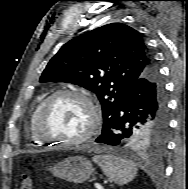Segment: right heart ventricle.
Masks as SVG:
<instances>
[{"instance_id": "1", "label": "right heart ventricle", "mask_w": 188, "mask_h": 189, "mask_svg": "<svg viewBox=\"0 0 188 189\" xmlns=\"http://www.w3.org/2000/svg\"><path fill=\"white\" fill-rule=\"evenodd\" d=\"M43 101L39 102L35 107L34 109L32 110L31 112V115H30V118H29V124H28V127H29V134H30V138L32 140V142L38 144V145H42L43 143H41L40 141L37 140L35 134H34V121H35V118H36V115H37V112L41 106Z\"/></svg>"}]
</instances>
